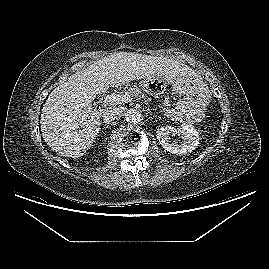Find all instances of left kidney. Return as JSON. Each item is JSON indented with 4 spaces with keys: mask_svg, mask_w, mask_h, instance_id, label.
Masks as SVG:
<instances>
[{
    "mask_svg": "<svg viewBox=\"0 0 269 269\" xmlns=\"http://www.w3.org/2000/svg\"><path fill=\"white\" fill-rule=\"evenodd\" d=\"M174 133L181 136L183 139V142L180 145L169 141V136ZM156 137L163 148L172 154H185L191 152L199 144V133L190 125H181L177 129L170 126L161 127L157 130Z\"/></svg>",
    "mask_w": 269,
    "mask_h": 269,
    "instance_id": "obj_1",
    "label": "left kidney"
}]
</instances>
